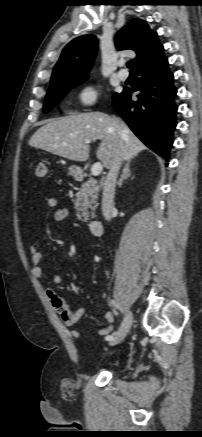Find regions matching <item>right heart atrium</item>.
<instances>
[{"instance_id": "obj_1", "label": "right heart atrium", "mask_w": 202, "mask_h": 437, "mask_svg": "<svg viewBox=\"0 0 202 437\" xmlns=\"http://www.w3.org/2000/svg\"><path fill=\"white\" fill-rule=\"evenodd\" d=\"M100 97L98 88L93 84H85L74 96L75 104L81 109L91 108L97 104Z\"/></svg>"}]
</instances>
